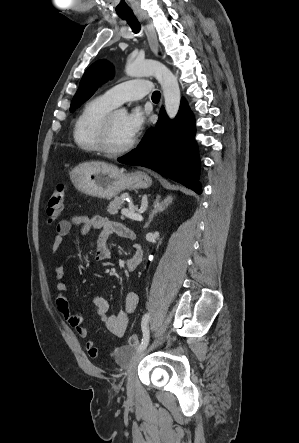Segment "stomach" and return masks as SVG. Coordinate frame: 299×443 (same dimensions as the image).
<instances>
[{"label": "stomach", "instance_id": "1", "mask_svg": "<svg viewBox=\"0 0 299 443\" xmlns=\"http://www.w3.org/2000/svg\"><path fill=\"white\" fill-rule=\"evenodd\" d=\"M73 185L80 192L111 199L126 189H145L152 184L145 172H121L112 164L83 163L70 172Z\"/></svg>", "mask_w": 299, "mask_h": 443}]
</instances>
